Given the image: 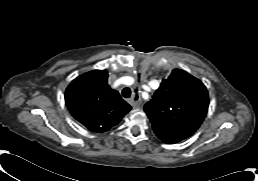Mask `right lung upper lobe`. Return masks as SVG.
I'll use <instances>...</instances> for the list:
<instances>
[{"instance_id": "right-lung-upper-lobe-1", "label": "right lung upper lobe", "mask_w": 258, "mask_h": 181, "mask_svg": "<svg viewBox=\"0 0 258 181\" xmlns=\"http://www.w3.org/2000/svg\"><path fill=\"white\" fill-rule=\"evenodd\" d=\"M105 70H93L74 79L65 92L72 116L96 132H105L131 110L120 94L107 84Z\"/></svg>"}]
</instances>
